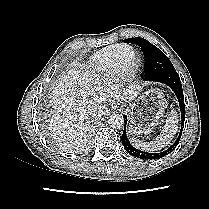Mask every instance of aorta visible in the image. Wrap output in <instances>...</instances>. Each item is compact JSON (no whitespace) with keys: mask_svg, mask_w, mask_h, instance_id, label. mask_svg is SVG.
<instances>
[{"mask_svg":"<svg viewBox=\"0 0 209 209\" xmlns=\"http://www.w3.org/2000/svg\"><path fill=\"white\" fill-rule=\"evenodd\" d=\"M109 125L114 129H120L124 124V119L119 114L111 115L108 119Z\"/></svg>","mask_w":209,"mask_h":209,"instance_id":"aorta-1","label":"aorta"}]
</instances>
